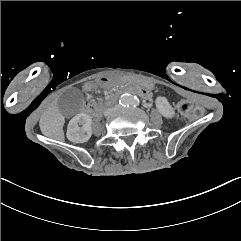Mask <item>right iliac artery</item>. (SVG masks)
<instances>
[{
	"instance_id": "obj_1",
	"label": "right iliac artery",
	"mask_w": 241,
	"mask_h": 241,
	"mask_svg": "<svg viewBox=\"0 0 241 241\" xmlns=\"http://www.w3.org/2000/svg\"><path fill=\"white\" fill-rule=\"evenodd\" d=\"M129 100H123L122 103H123V106H128L129 105Z\"/></svg>"
}]
</instances>
